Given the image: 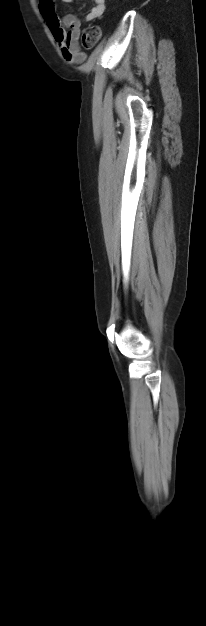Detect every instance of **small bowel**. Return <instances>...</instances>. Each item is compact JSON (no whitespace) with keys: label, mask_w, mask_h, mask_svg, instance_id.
<instances>
[{"label":"small bowel","mask_w":206,"mask_h":626,"mask_svg":"<svg viewBox=\"0 0 206 626\" xmlns=\"http://www.w3.org/2000/svg\"><path fill=\"white\" fill-rule=\"evenodd\" d=\"M62 1L67 4L75 2V0ZM94 3V7L85 15L86 21L99 19L105 12L106 0H94ZM39 5L65 61L71 64L83 63L86 60V53L79 45L81 25L79 18L74 14L59 17L55 10V0H39Z\"/></svg>","instance_id":"obj_1"}]
</instances>
